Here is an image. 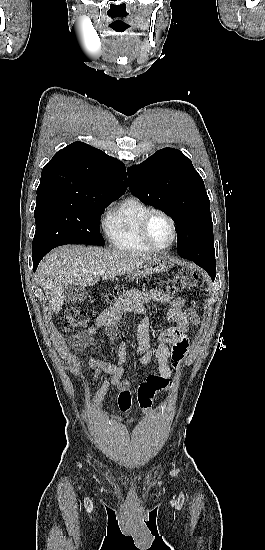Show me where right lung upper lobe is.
<instances>
[{
  "instance_id": "cb5924a9",
  "label": "right lung upper lobe",
  "mask_w": 265,
  "mask_h": 550,
  "mask_svg": "<svg viewBox=\"0 0 265 550\" xmlns=\"http://www.w3.org/2000/svg\"><path fill=\"white\" fill-rule=\"evenodd\" d=\"M127 186L122 162L86 143L74 142L42 169L37 198H119Z\"/></svg>"
}]
</instances>
